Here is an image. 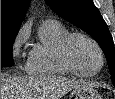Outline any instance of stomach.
<instances>
[{"instance_id": "stomach-1", "label": "stomach", "mask_w": 115, "mask_h": 99, "mask_svg": "<svg viewBox=\"0 0 115 99\" xmlns=\"http://www.w3.org/2000/svg\"><path fill=\"white\" fill-rule=\"evenodd\" d=\"M101 99L98 92L89 85L82 84L81 86L73 89L69 99Z\"/></svg>"}]
</instances>
